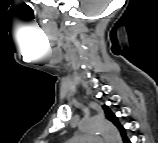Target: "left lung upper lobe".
<instances>
[{
    "instance_id": "5c2ea615",
    "label": "left lung upper lobe",
    "mask_w": 158,
    "mask_h": 143,
    "mask_svg": "<svg viewBox=\"0 0 158 143\" xmlns=\"http://www.w3.org/2000/svg\"><path fill=\"white\" fill-rule=\"evenodd\" d=\"M103 108L105 110V114L108 120H110L111 122L115 124V126H117V128L119 129L122 135L125 134V129L119 123L118 118L110 111V109L107 106H103Z\"/></svg>"
}]
</instances>
